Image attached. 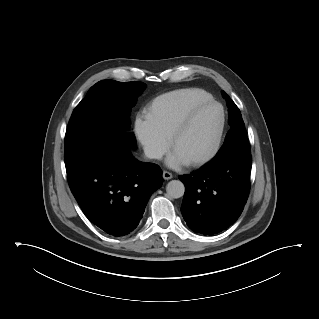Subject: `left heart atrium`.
<instances>
[{"label": "left heart atrium", "mask_w": 319, "mask_h": 319, "mask_svg": "<svg viewBox=\"0 0 319 319\" xmlns=\"http://www.w3.org/2000/svg\"><path fill=\"white\" fill-rule=\"evenodd\" d=\"M186 164L187 162L174 151L167 158V165L171 168H180Z\"/></svg>", "instance_id": "left-heart-atrium-1"}]
</instances>
